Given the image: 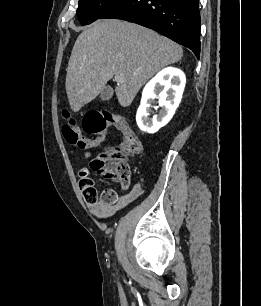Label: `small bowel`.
<instances>
[{"label":"small bowel","mask_w":261,"mask_h":306,"mask_svg":"<svg viewBox=\"0 0 261 306\" xmlns=\"http://www.w3.org/2000/svg\"><path fill=\"white\" fill-rule=\"evenodd\" d=\"M100 144V140H95L93 142V147H96ZM86 171L88 174V170L86 168H81L79 170V176L82 172ZM143 190L139 184H134L128 192L121 195L120 197L117 196V199L112 204H104L101 202L97 203H89V208L91 212L99 217V218H110L112 217L117 211L125 208L130 203L135 201L141 194Z\"/></svg>","instance_id":"1"}]
</instances>
